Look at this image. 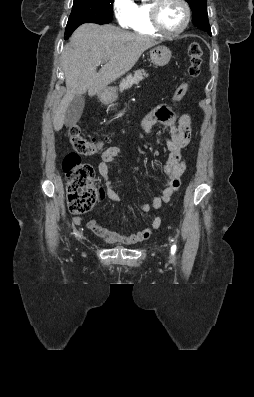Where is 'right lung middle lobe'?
<instances>
[{
    "label": "right lung middle lobe",
    "instance_id": "1",
    "mask_svg": "<svg viewBox=\"0 0 254 397\" xmlns=\"http://www.w3.org/2000/svg\"><path fill=\"white\" fill-rule=\"evenodd\" d=\"M114 0H74L67 26L83 23L106 24L112 20Z\"/></svg>",
    "mask_w": 254,
    "mask_h": 397
}]
</instances>
